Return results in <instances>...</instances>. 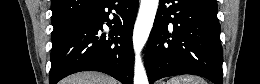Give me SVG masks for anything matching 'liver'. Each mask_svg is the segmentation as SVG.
<instances>
[{"label":"liver","instance_id":"6515ba94","mask_svg":"<svg viewBox=\"0 0 260 84\" xmlns=\"http://www.w3.org/2000/svg\"><path fill=\"white\" fill-rule=\"evenodd\" d=\"M62 84H117V81L102 73L86 71L65 78Z\"/></svg>","mask_w":260,"mask_h":84}]
</instances>
